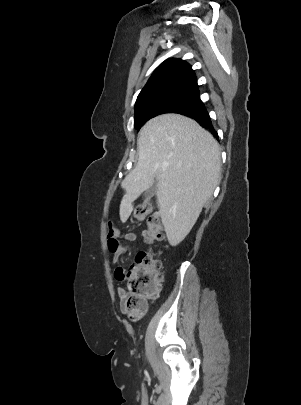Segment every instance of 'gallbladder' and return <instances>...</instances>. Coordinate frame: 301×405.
Segmentation results:
<instances>
[{
	"label": "gallbladder",
	"instance_id": "bac80fb5",
	"mask_svg": "<svg viewBox=\"0 0 301 405\" xmlns=\"http://www.w3.org/2000/svg\"><path fill=\"white\" fill-rule=\"evenodd\" d=\"M157 191V183L154 182L152 186H150L144 193L145 200H150Z\"/></svg>",
	"mask_w": 301,
	"mask_h": 405
}]
</instances>
